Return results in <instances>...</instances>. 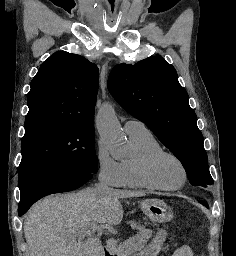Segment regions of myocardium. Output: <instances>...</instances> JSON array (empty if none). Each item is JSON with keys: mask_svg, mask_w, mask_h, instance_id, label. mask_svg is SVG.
<instances>
[{"mask_svg": "<svg viewBox=\"0 0 236 256\" xmlns=\"http://www.w3.org/2000/svg\"><path fill=\"white\" fill-rule=\"evenodd\" d=\"M164 157H171L174 159L183 169L184 179L176 186H169L164 184L157 175V165ZM143 177L145 181L153 188L164 191H174L183 187L189 177L188 169L183 160L173 152L161 150L148 155L142 166Z\"/></svg>", "mask_w": 236, "mask_h": 256, "instance_id": "f54148a6", "label": "myocardium"}]
</instances>
